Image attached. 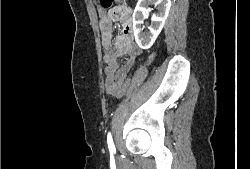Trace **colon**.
Listing matches in <instances>:
<instances>
[{
  "mask_svg": "<svg viewBox=\"0 0 250 169\" xmlns=\"http://www.w3.org/2000/svg\"><path fill=\"white\" fill-rule=\"evenodd\" d=\"M97 3H101L102 7L104 9H111L113 6V1L112 0H97ZM156 53L158 52L157 50L155 51ZM148 59H155V54H148ZM147 66H152V61H147ZM144 68L146 67L145 65L143 66ZM134 73L136 72L135 70L133 71ZM131 84V79H126V81H122V84L120 85V88L118 90V97H126V93L128 91L129 85Z\"/></svg>",
  "mask_w": 250,
  "mask_h": 169,
  "instance_id": "1",
  "label": "colon"
}]
</instances>
